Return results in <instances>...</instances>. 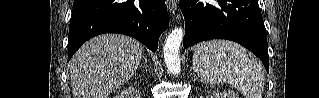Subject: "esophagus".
Segmentation results:
<instances>
[{"label": "esophagus", "instance_id": "obj_1", "mask_svg": "<svg viewBox=\"0 0 319 98\" xmlns=\"http://www.w3.org/2000/svg\"><path fill=\"white\" fill-rule=\"evenodd\" d=\"M167 7L170 13H175L177 9V1L175 0H166Z\"/></svg>", "mask_w": 319, "mask_h": 98}]
</instances>
